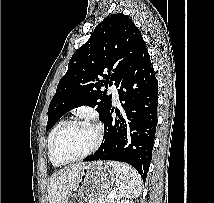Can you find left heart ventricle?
<instances>
[{"label": "left heart ventricle", "mask_w": 214, "mask_h": 203, "mask_svg": "<svg viewBox=\"0 0 214 203\" xmlns=\"http://www.w3.org/2000/svg\"><path fill=\"white\" fill-rule=\"evenodd\" d=\"M96 138L95 128L88 123H79L67 128L58 142V156L62 160L74 159L93 145Z\"/></svg>", "instance_id": "left-heart-ventricle-1"}]
</instances>
